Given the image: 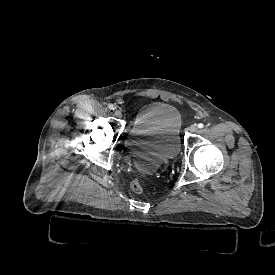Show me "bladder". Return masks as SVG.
<instances>
[{
	"label": "bladder",
	"instance_id": "31cf9c89",
	"mask_svg": "<svg viewBox=\"0 0 275 275\" xmlns=\"http://www.w3.org/2000/svg\"><path fill=\"white\" fill-rule=\"evenodd\" d=\"M181 115L167 103L151 102L139 107L128 140L132 163L142 172H153L158 162L176 157L181 150Z\"/></svg>",
	"mask_w": 275,
	"mask_h": 275
}]
</instances>
